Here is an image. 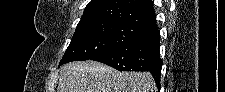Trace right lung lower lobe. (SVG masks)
Returning a JSON list of instances; mask_svg holds the SVG:
<instances>
[{"label": "right lung lower lobe", "mask_w": 225, "mask_h": 92, "mask_svg": "<svg viewBox=\"0 0 225 92\" xmlns=\"http://www.w3.org/2000/svg\"><path fill=\"white\" fill-rule=\"evenodd\" d=\"M159 29H153L91 60L107 64L119 71H149L160 89L162 60L160 59Z\"/></svg>", "instance_id": "98d812e1"}]
</instances>
